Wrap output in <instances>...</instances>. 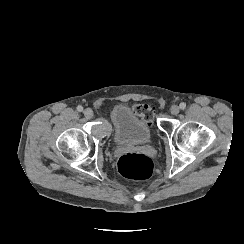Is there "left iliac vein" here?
I'll return each instance as SVG.
<instances>
[{
    "instance_id": "1",
    "label": "left iliac vein",
    "mask_w": 244,
    "mask_h": 244,
    "mask_svg": "<svg viewBox=\"0 0 244 244\" xmlns=\"http://www.w3.org/2000/svg\"><path fill=\"white\" fill-rule=\"evenodd\" d=\"M170 112L173 114V115H176L180 112V108L179 106L177 105H173L170 107Z\"/></svg>"
}]
</instances>
